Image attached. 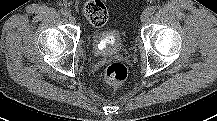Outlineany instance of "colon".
Listing matches in <instances>:
<instances>
[{
	"label": "colon",
	"instance_id": "5ec220e1",
	"mask_svg": "<svg viewBox=\"0 0 217 121\" xmlns=\"http://www.w3.org/2000/svg\"><path fill=\"white\" fill-rule=\"evenodd\" d=\"M85 18L95 27H102L108 19L106 6L100 0H89L83 5ZM128 76L127 67L119 62L110 64L105 70V80L110 85H120Z\"/></svg>",
	"mask_w": 217,
	"mask_h": 121
}]
</instances>
